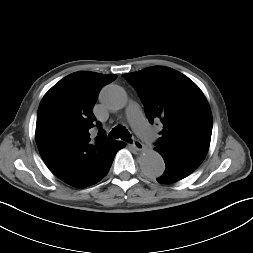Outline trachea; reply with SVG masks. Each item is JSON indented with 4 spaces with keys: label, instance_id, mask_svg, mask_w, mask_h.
<instances>
[{
    "label": "trachea",
    "instance_id": "obj_1",
    "mask_svg": "<svg viewBox=\"0 0 253 253\" xmlns=\"http://www.w3.org/2000/svg\"><path fill=\"white\" fill-rule=\"evenodd\" d=\"M131 136L132 135L128 132V130L124 126L117 125L109 133L108 139L109 140H114V139L121 138L122 140H124L128 143H131L132 142Z\"/></svg>",
    "mask_w": 253,
    "mask_h": 253
}]
</instances>
